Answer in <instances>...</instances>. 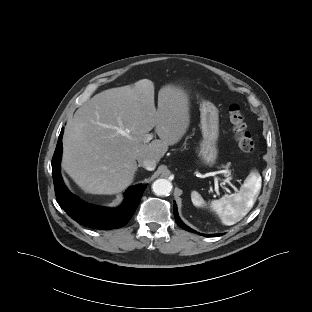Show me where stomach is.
<instances>
[{
    "mask_svg": "<svg viewBox=\"0 0 312 312\" xmlns=\"http://www.w3.org/2000/svg\"><path fill=\"white\" fill-rule=\"evenodd\" d=\"M201 132L199 155L205 164H212L217 159V141L219 137V113L215 105L204 101L200 108Z\"/></svg>",
    "mask_w": 312,
    "mask_h": 312,
    "instance_id": "1",
    "label": "stomach"
}]
</instances>
